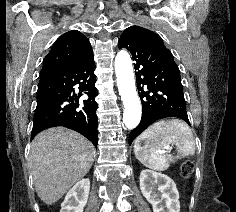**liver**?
I'll return each mask as SVG.
<instances>
[{"label": "liver", "instance_id": "obj_1", "mask_svg": "<svg viewBox=\"0 0 236 212\" xmlns=\"http://www.w3.org/2000/svg\"><path fill=\"white\" fill-rule=\"evenodd\" d=\"M95 155L89 140L67 128L53 127L39 133L29 155L39 198L47 205L57 202L88 173Z\"/></svg>", "mask_w": 236, "mask_h": 212}]
</instances>
